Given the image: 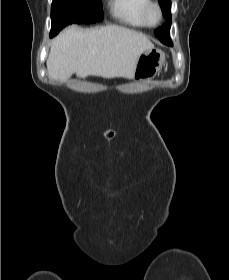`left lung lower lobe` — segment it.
<instances>
[{
    "mask_svg": "<svg viewBox=\"0 0 229 280\" xmlns=\"http://www.w3.org/2000/svg\"><path fill=\"white\" fill-rule=\"evenodd\" d=\"M166 45H170V46H171V45H172V42H170L169 44H166Z\"/></svg>",
    "mask_w": 229,
    "mask_h": 280,
    "instance_id": "left-lung-lower-lobe-1",
    "label": "left lung lower lobe"
}]
</instances>
